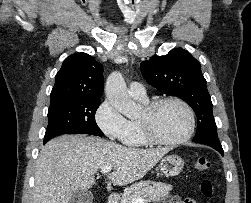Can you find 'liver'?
I'll return each instance as SVG.
<instances>
[{
	"label": "liver",
	"mask_w": 251,
	"mask_h": 203,
	"mask_svg": "<svg viewBox=\"0 0 251 203\" xmlns=\"http://www.w3.org/2000/svg\"><path fill=\"white\" fill-rule=\"evenodd\" d=\"M169 151L129 148L93 136H59L42 148L37 159L33 203H69L75 192L93 186L102 167L113 169L108 180L114 185L130 184Z\"/></svg>",
	"instance_id": "liver-1"
}]
</instances>
